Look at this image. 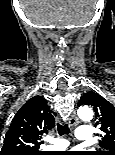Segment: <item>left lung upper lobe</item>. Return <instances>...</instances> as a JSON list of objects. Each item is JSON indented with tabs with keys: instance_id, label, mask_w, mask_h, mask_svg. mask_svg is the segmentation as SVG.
I'll return each instance as SVG.
<instances>
[{
	"instance_id": "5c2ea615",
	"label": "left lung upper lobe",
	"mask_w": 115,
	"mask_h": 155,
	"mask_svg": "<svg viewBox=\"0 0 115 155\" xmlns=\"http://www.w3.org/2000/svg\"><path fill=\"white\" fill-rule=\"evenodd\" d=\"M80 105L93 107L97 119L95 127L99 125L100 130L103 132L100 146L105 151H97L92 155H115V107L95 92L84 94L79 100Z\"/></svg>"
}]
</instances>
